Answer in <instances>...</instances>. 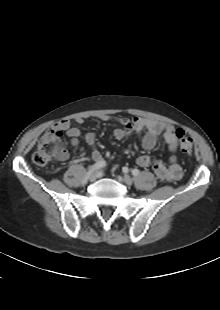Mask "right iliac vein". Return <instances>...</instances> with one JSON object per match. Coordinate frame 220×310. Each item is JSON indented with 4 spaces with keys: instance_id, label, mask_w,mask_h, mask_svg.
<instances>
[{
    "instance_id": "right-iliac-vein-1",
    "label": "right iliac vein",
    "mask_w": 220,
    "mask_h": 310,
    "mask_svg": "<svg viewBox=\"0 0 220 310\" xmlns=\"http://www.w3.org/2000/svg\"><path fill=\"white\" fill-rule=\"evenodd\" d=\"M97 177H98L97 173L94 172L90 175L89 180L93 182L97 179Z\"/></svg>"
}]
</instances>
